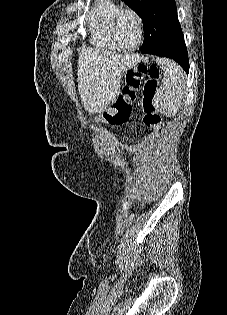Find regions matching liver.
Here are the masks:
<instances>
[{
  "label": "liver",
  "instance_id": "6515ba94",
  "mask_svg": "<svg viewBox=\"0 0 227 315\" xmlns=\"http://www.w3.org/2000/svg\"><path fill=\"white\" fill-rule=\"evenodd\" d=\"M136 64L128 54L83 49L79 54L77 81L84 108L89 113H101L119 95L123 74Z\"/></svg>",
  "mask_w": 227,
  "mask_h": 315
}]
</instances>
